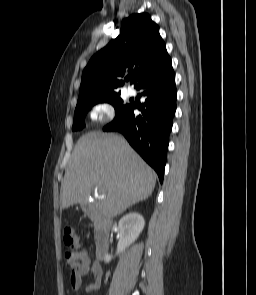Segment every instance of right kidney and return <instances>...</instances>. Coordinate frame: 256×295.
<instances>
[{
	"instance_id": "ca27d5eb",
	"label": "right kidney",
	"mask_w": 256,
	"mask_h": 295,
	"mask_svg": "<svg viewBox=\"0 0 256 295\" xmlns=\"http://www.w3.org/2000/svg\"><path fill=\"white\" fill-rule=\"evenodd\" d=\"M144 225L145 221L143 216L137 212L129 213L120 219L118 223L120 239L117 245L116 255L121 254L139 237ZM104 259L105 262L108 263L111 261L112 256L106 254Z\"/></svg>"
}]
</instances>
